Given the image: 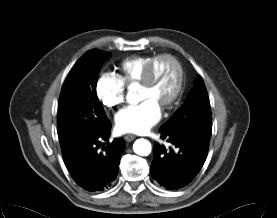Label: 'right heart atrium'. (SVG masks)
Masks as SVG:
<instances>
[{
    "instance_id": "obj_1",
    "label": "right heart atrium",
    "mask_w": 277,
    "mask_h": 218,
    "mask_svg": "<svg viewBox=\"0 0 277 218\" xmlns=\"http://www.w3.org/2000/svg\"><path fill=\"white\" fill-rule=\"evenodd\" d=\"M96 92L102 103L112 108L124 102L126 85L122 79L112 73L104 72L97 80Z\"/></svg>"
}]
</instances>
